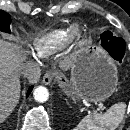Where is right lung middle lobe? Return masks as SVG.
<instances>
[{
  "label": "right lung middle lobe",
  "instance_id": "right-lung-middle-lobe-1",
  "mask_svg": "<svg viewBox=\"0 0 130 130\" xmlns=\"http://www.w3.org/2000/svg\"><path fill=\"white\" fill-rule=\"evenodd\" d=\"M11 17L8 13L0 10V31L10 33Z\"/></svg>",
  "mask_w": 130,
  "mask_h": 130
}]
</instances>
